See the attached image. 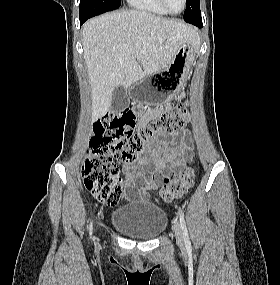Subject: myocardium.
<instances>
[{"mask_svg": "<svg viewBox=\"0 0 280 285\" xmlns=\"http://www.w3.org/2000/svg\"><path fill=\"white\" fill-rule=\"evenodd\" d=\"M160 2H161L162 6L165 8V10H166L168 13H170V14H172V15H178V14L182 13V12L185 10L188 1H187V0H183V7H182V9H181L179 12H173V11H171V9H170L169 6H168L167 0H160Z\"/></svg>", "mask_w": 280, "mask_h": 285, "instance_id": "f54148a6", "label": "myocardium"}]
</instances>
